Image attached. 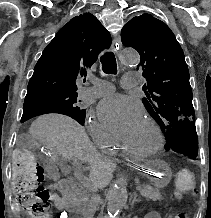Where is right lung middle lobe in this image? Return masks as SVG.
I'll list each match as a JSON object with an SVG mask.
<instances>
[{"label":"right lung middle lobe","instance_id":"1","mask_svg":"<svg viewBox=\"0 0 211 218\" xmlns=\"http://www.w3.org/2000/svg\"><path fill=\"white\" fill-rule=\"evenodd\" d=\"M77 93L52 95L25 102L21 122L46 113H60L68 115L84 125L86 110L80 106Z\"/></svg>","mask_w":211,"mask_h":218}]
</instances>
